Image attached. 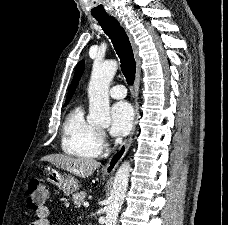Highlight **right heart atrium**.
Returning a JSON list of instances; mask_svg holds the SVG:
<instances>
[{
	"mask_svg": "<svg viewBox=\"0 0 228 225\" xmlns=\"http://www.w3.org/2000/svg\"><path fill=\"white\" fill-rule=\"evenodd\" d=\"M99 137L101 141H105L106 140V134L103 130H99Z\"/></svg>",
	"mask_w": 228,
	"mask_h": 225,
	"instance_id": "1",
	"label": "right heart atrium"
}]
</instances>
